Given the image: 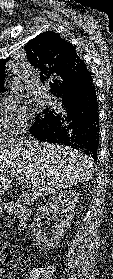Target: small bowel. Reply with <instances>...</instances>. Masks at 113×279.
I'll return each mask as SVG.
<instances>
[{
	"label": "small bowel",
	"mask_w": 113,
	"mask_h": 279,
	"mask_svg": "<svg viewBox=\"0 0 113 279\" xmlns=\"http://www.w3.org/2000/svg\"><path fill=\"white\" fill-rule=\"evenodd\" d=\"M1 275H2V272L0 273V279H1Z\"/></svg>",
	"instance_id": "small-bowel-1"
}]
</instances>
